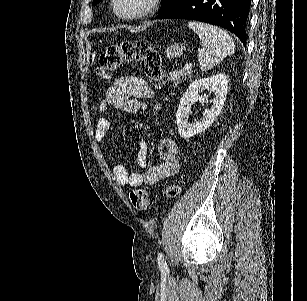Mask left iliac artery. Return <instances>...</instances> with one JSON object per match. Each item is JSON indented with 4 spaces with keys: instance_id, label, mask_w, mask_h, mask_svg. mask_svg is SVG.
Wrapping results in <instances>:
<instances>
[{
    "instance_id": "44dca946",
    "label": "left iliac artery",
    "mask_w": 307,
    "mask_h": 301,
    "mask_svg": "<svg viewBox=\"0 0 307 301\" xmlns=\"http://www.w3.org/2000/svg\"><path fill=\"white\" fill-rule=\"evenodd\" d=\"M157 262H158V267H159V269L167 270V263H166V261L164 260V256H163L162 253H159V254H158Z\"/></svg>"
}]
</instances>
